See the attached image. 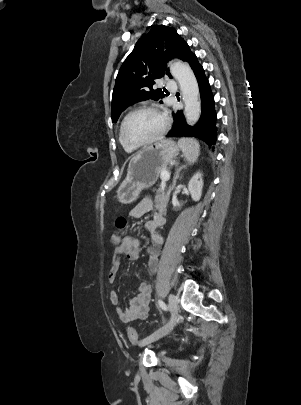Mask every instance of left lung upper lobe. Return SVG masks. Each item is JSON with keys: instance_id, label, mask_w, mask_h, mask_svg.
Returning a JSON list of instances; mask_svg holds the SVG:
<instances>
[{"instance_id": "obj_1", "label": "left lung upper lobe", "mask_w": 301, "mask_h": 405, "mask_svg": "<svg viewBox=\"0 0 301 405\" xmlns=\"http://www.w3.org/2000/svg\"><path fill=\"white\" fill-rule=\"evenodd\" d=\"M192 54L187 42L174 28L159 25L141 37L122 64L112 96V122L128 106L147 99L160 100L161 89H153L155 80L168 75L167 63L173 58L188 61ZM162 103V101H160Z\"/></svg>"}]
</instances>
